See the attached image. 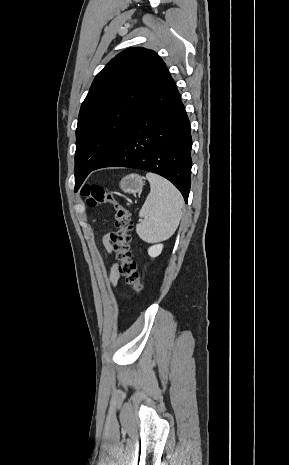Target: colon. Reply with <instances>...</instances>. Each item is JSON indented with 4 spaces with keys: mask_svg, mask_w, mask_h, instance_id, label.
I'll use <instances>...</instances> for the list:
<instances>
[{
    "mask_svg": "<svg viewBox=\"0 0 289 465\" xmlns=\"http://www.w3.org/2000/svg\"><path fill=\"white\" fill-rule=\"evenodd\" d=\"M80 193L86 199L88 207L93 208L99 204H110L115 210L116 229L110 235L116 258L119 262V272L124 276L125 281L138 296L143 288L137 263L132 259L131 234L133 223L131 212L121 204L109 191L100 185H85Z\"/></svg>",
    "mask_w": 289,
    "mask_h": 465,
    "instance_id": "obj_1",
    "label": "colon"
}]
</instances>
